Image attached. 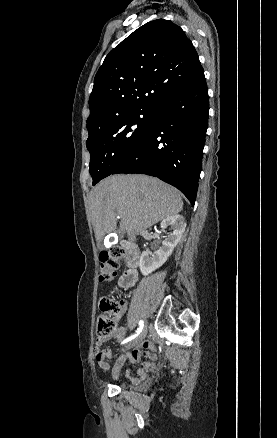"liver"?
<instances>
[{"mask_svg":"<svg viewBox=\"0 0 277 438\" xmlns=\"http://www.w3.org/2000/svg\"><path fill=\"white\" fill-rule=\"evenodd\" d=\"M90 210L95 238L114 232L120 218L123 234H136L183 210L177 190L158 178L144 174H116L90 192Z\"/></svg>","mask_w":277,"mask_h":438,"instance_id":"liver-1","label":"liver"}]
</instances>
